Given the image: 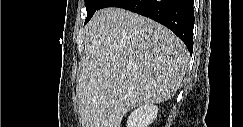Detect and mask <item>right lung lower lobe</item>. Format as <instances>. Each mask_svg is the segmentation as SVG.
Returning <instances> with one entry per match:
<instances>
[{
    "label": "right lung lower lobe",
    "mask_w": 243,
    "mask_h": 127,
    "mask_svg": "<svg viewBox=\"0 0 243 127\" xmlns=\"http://www.w3.org/2000/svg\"><path fill=\"white\" fill-rule=\"evenodd\" d=\"M119 7L149 17L172 30L193 51V0H105L101 8Z\"/></svg>",
    "instance_id": "obj_1"
}]
</instances>
